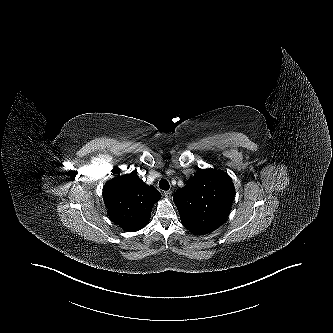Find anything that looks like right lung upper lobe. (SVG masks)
<instances>
[{
	"label": "right lung upper lobe",
	"instance_id": "cb5924a9",
	"mask_svg": "<svg viewBox=\"0 0 333 333\" xmlns=\"http://www.w3.org/2000/svg\"><path fill=\"white\" fill-rule=\"evenodd\" d=\"M160 198V192L146 185L134 171L113 178L103 188L109 218L127 232L147 225L152 207Z\"/></svg>",
	"mask_w": 333,
	"mask_h": 333
}]
</instances>
